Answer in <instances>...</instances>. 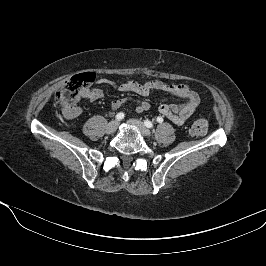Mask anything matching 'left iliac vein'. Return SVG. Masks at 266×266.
I'll return each mask as SVG.
<instances>
[{
	"mask_svg": "<svg viewBox=\"0 0 266 266\" xmlns=\"http://www.w3.org/2000/svg\"><path fill=\"white\" fill-rule=\"evenodd\" d=\"M127 123L130 126L137 128L143 136L150 137L151 132L145 127V125L141 121L136 119H129Z\"/></svg>",
	"mask_w": 266,
	"mask_h": 266,
	"instance_id": "obj_1",
	"label": "left iliac vein"
}]
</instances>
